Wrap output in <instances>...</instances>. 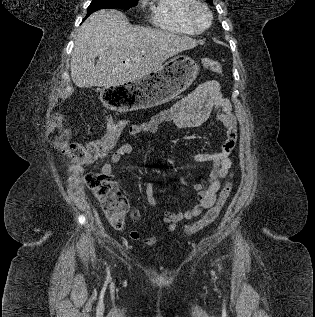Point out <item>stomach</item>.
Listing matches in <instances>:
<instances>
[{
    "label": "stomach",
    "instance_id": "0dacf381",
    "mask_svg": "<svg viewBox=\"0 0 315 317\" xmlns=\"http://www.w3.org/2000/svg\"><path fill=\"white\" fill-rule=\"evenodd\" d=\"M199 66L190 57L178 55L160 69L131 84H113L103 88L105 104L115 114H126V108L146 109L162 105L185 91L196 79Z\"/></svg>",
    "mask_w": 315,
    "mask_h": 317
}]
</instances>
